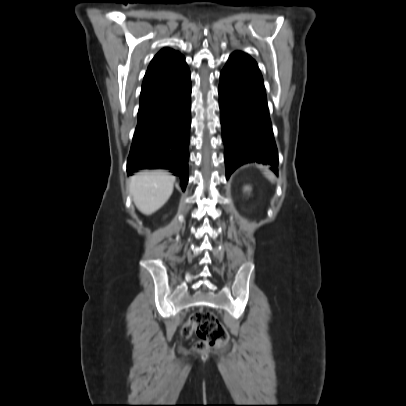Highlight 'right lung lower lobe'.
I'll return each instance as SVG.
<instances>
[{"instance_id":"98d812e1","label":"right lung lower lobe","mask_w":406,"mask_h":406,"mask_svg":"<svg viewBox=\"0 0 406 406\" xmlns=\"http://www.w3.org/2000/svg\"><path fill=\"white\" fill-rule=\"evenodd\" d=\"M191 90L186 65L166 81L141 91L128 173L145 167H168L180 177L185 190L189 178Z\"/></svg>"}]
</instances>
